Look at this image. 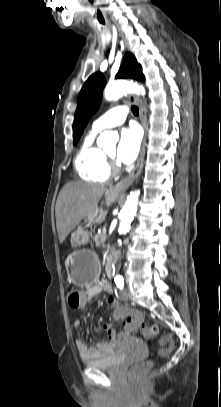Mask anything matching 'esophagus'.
I'll return each mask as SVG.
<instances>
[{"label": "esophagus", "mask_w": 221, "mask_h": 407, "mask_svg": "<svg viewBox=\"0 0 221 407\" xmlns=\"http://www.w3.org/2000/svg\"><path fill=\"white\" fill-rule=\"evenodd\" d=\"M129 100L133 103L136 104L139 107L140 111V121L141 124L144 128V138L141 146V151L139 155V159L137 161V164L134 168V170L123 180L120 182L116 183L110 188V191L114 194H123L127 190V188L134 182V180L140 175L142 168H143V162H144V156H145V146H146V137H147V121H146V112L144 109V106L142 104V101L139 97L135 95H129Z\"/></svg>", "instance_id": "34e87169"}]
</instances>
